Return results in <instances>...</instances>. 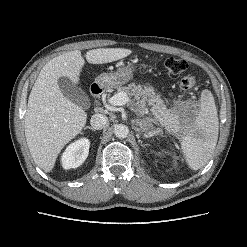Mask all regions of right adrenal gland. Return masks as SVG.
<instances>
[{
    "instance_id": "obj_1",
    "label": "right adrenal gland",
    "mask_w": 247,
    "mask_h": 247,
    "mask_svg": "<svg viewBox=\"0 0 247 247\" xmlns=\"http://www.w3.org/2000/svg\"><path fill=\"white\" fill-rule=\"evenodd\" d=\"M84 129H90V130H92V131H96L93 127H91V126H86Z\"/></svg>"
}]
</instances>
